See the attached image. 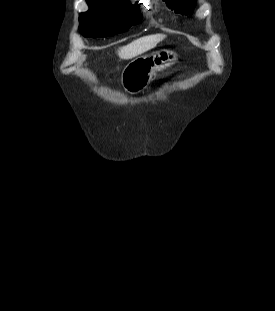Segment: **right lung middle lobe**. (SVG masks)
Here are the masks:
<instances>
[{
  "label": "right lung middle lobe",
  "instance_id": "right-lung-middle-lobe-1",
  "mask_svg": "<svg viewBox=\"0 0 275 311\" xmlns=\"http://www.w3.org/2000/svg\"><path fill=\"white\" fill-rule=\"evenodd\" d=\"M80 32L86 37H104L126 31L141 22L139 5L130 2L96 3L79 17Z\"/></svg>",
  "mask_w": 275,
  "mask_h": 311
}]
</instances>
